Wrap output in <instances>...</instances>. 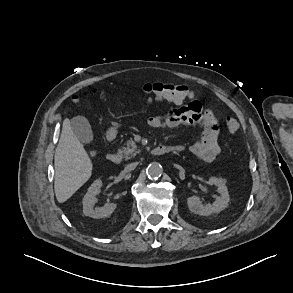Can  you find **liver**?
I'll return each instance as SVG.
<instances>
[{"label": "liver", "instance_id": "obj_1", "mask_svg": "<svg viewBox=\"0 0 293 293\" xmlns=\"http://www.w3.org/2000/svg\"><path fill=\"white\" fill-rule=\"evenodd\" d=\"M54 166V191L59 203L67 201L92 175V162L68 118L63 121Z\"/></svg>", "mask_w": 293, "mask_h": 293}]
</instances>
